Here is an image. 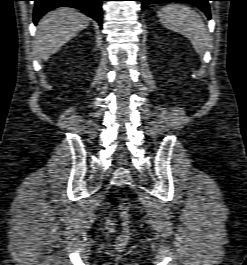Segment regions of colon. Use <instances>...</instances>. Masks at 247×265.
<instances>
[{"instance_id": "colon-1", "label": "colon", "mask_w": 247, "mask_h": 265, "mask_svg": "<svg viewBox=\"0 0 247 265\" xmlns=\"http://www.w3.org/2000/svg\"><path fill=\"white\" fill-rule=\"evenodd\" d=\"M118 207L122 218V229L116 241V248L118 250H123L127 246L130 238V201L126 198H123L120 200Z\"/></svg>"}]
</instances>
